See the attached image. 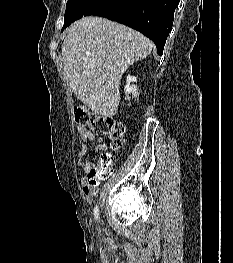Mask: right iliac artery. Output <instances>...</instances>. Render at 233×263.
Returning <instances> with one entry per match:
<instances>
[{"label":"right iliac artery","instance_id":"right-iliac-artery-1","mask_svg":"<svg viewBox=\"0 0 233 263\" xmlns=\"http://www.w3.org/2000/svg\"><path fill=\"white\" fill-rule=\"evenodd\" d=\"M94 214H95V219L99 220V208L97 205L94 208Z\"/></svg>","mask_w":233,"mask_h":263}]
</instances>
